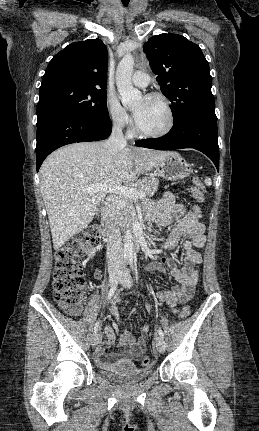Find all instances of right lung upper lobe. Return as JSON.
<instances>
[{
  "mask_svg": "<svg viewBox=\"0 0 259 431\" xmlns=\"http://www.w3.org/2000/svg\"><path fill=\"white\" fill-rule=\"evenodd\" d=\"M108 51L100 39L69 44L49 62L40 90L52 83L107 88Z\"/></svg>",
  "mask_w": 259,
  "mask_h": 431,
  "instance_id": "1",
  "label": "right lung upper lobe"
}]
</instances>
